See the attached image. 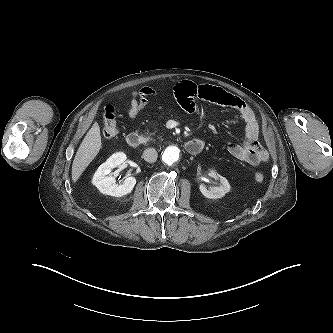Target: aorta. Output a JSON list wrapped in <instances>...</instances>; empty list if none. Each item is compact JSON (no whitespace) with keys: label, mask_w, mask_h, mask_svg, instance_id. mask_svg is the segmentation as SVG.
<instances>
[{"label":"aorta","mask_w":333,"mask_h":333,"mask_svg":"<svg viewBox=\"0 0 333 333\" xmlns=\"http://www.w3.org/2000/svg\"><path fill=\"white\" fill-rule=\"evenodd\" d=\"M180 150L176 146H168L162 154V161L167 165H172L179 160Z\"/></svg>","instance_id":"aorta-1"}]
</instances>
